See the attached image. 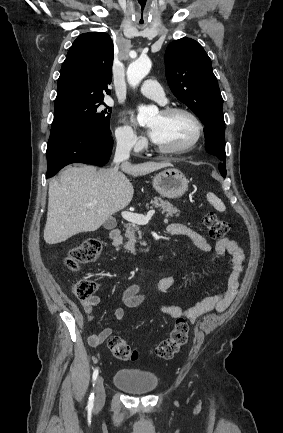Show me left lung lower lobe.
<instances>
[{
  "label": "left lung lower lobe",
  "instance_id": "left-lung-lower-lobe-1",
  "mask_svg": "<svg viewBox=\"0 0 283 433\" xmlns=\"http://www.w3.org/2000/svg\"><path fill=\"white\" fill-rule=\"evenodd\" d=\"M206 143V151L210 154H213L218 157L222 162L219 163V171L221 175L225 178L226 177V155H225V145H222L217 140L211 141V142H205Z\"/></svg>",
  "mask_w": 283,
  "mask_h": 433
}]
</instances>
